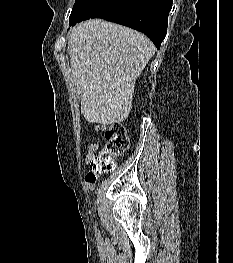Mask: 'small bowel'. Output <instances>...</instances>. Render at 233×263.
Listing matches in <instances>:
<instances>
[{
    "mask_svg": "<svg viewBox=\"0 0 233 263\" xmlns=\"http://www.w3.org/2000/svg\"><path fill=\"white\" fill-rule=\"evenodd\" d=\"M98 151V145L96 143H91L88 146V152L85 157V163L89 164L96 157ZM90 188L93 187V183H87Z\"/></svg>",
    "mask_w": 233,
    "mask_h": 263,
    "instance_id": "small-bowel-1",
    "label": "small bowel"
}]
</instances>
